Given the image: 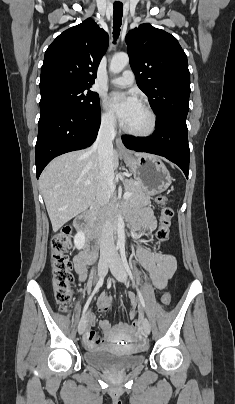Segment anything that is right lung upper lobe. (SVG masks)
Segmentation results:
<instances>
[{
  "instance_id": "right-lung-upper-lobe-1",
  "label": "right lung upper lobe",
  "mask_w": 235,
  "mask_h": 404,
  "mask_svg": "<svg viewBox=\"0 0 235 404\" xmlns=\"http://www.w3.org/2000/svg\"><path fill=\"white\" fill-rule=\"evenodd\" d=\"M108 43V34L91 18L67 29L45 52L40 85L66 82L90 88Z\"/></svg>"
}]
</instances>
